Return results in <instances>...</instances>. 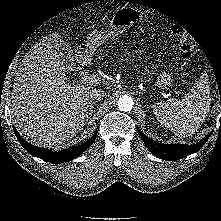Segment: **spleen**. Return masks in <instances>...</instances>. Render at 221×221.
<instances>
[{"label": "spleen", "mask_w": 221, "mask_h": 221, "mask_svg": "<svg viewBox=\"0 0 221 221\" xmlns=\"http://www.w3.org/2000/svg\"><path fill=\"white\" fill-rule=\"evenodd\" d=\"M210 88L207 75L202 74L192 89L179 101L152 105L158 121L179 137L192 136L204 122L210 107Z\"/></svg>", "instance_id": "spleen-1"}]
</instances>
